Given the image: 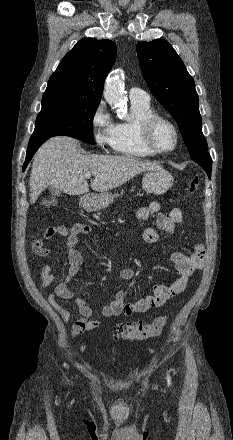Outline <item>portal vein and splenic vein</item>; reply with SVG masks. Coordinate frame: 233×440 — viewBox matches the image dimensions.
Masks as SVG:
<instances>
[{
    "instance_id": "18ae733b",
    "label": "portal vein and splenic vein",
    "mask_w": 233,
    "mask_h": 440,
    "mask_svg": "<svg viewBox=\"0 0 233 440\" xmlns=\"http://www.w3.org/2000/svg\"><path fill=\"white\" fill-rule=\"evenodd\" d=\"M84 177H85V178H90V177H91V174H90V173H86V174L84 175Z\"/></svg>"
}]
</instances>
